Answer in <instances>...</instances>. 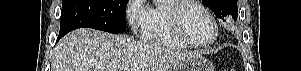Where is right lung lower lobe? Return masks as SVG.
Masks as SVG:
<instances>
[{
    "label": "right lung lower lobe",
    "mask_w": 301,
    "mask_h": 71,
    "mask_svg": "<svg viewBox=\"0 0 301 71\" xmlns=\"http://www.w3.org/2000/svg\"><path fill=\"white\" fill-rule=\"evenodd\" d=\"M62 36H63L62 34H59V37H58L57 41H58Z\"/></svg>",
    "instance_id": "98d812e1"
}]
</instances>
